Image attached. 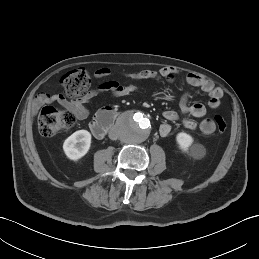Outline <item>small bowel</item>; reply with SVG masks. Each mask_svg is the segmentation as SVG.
Wrapping results in <instances>:
<instances>
[{
	"label": "small bowel",
	"mask_w": 259,
	"mask_h": 259,
	"mask_svg": "<svg viewBox=\"0 0 259 259\" xmlns=\"http://www.w3.org/2000/svg\"><path fill=\"white\" fill-rule=\"evenodd\" d=\"M113 71L110 68H100L95 72V76L98 79L105 78L111 75ZM179 70L176 67H164L158 71L155 70H141L133 72H123L122 76L132 81L143 80H166L169 83L175 81L176 75ZM187 85L201 89L208 94V106L212 109H217L221 105V98L223 97V90L214 85V83L196 74H188L185 77ZM136 89L133 84H122L115 79H107L102 81L96 87L90 89L80 98L67 99L62 94H48L40 93L33 101L32 108L37 110L44 104L58 103L68 111L72 112L74 116L80 120L86 119L89 115L87 105L95 98L103 95L110 94L115 97H123L132 93ZM179 108L183 114L190 115L195 118H201L206 114V106L202 103H189V93H184L179 101ZM163 118L167 122H174L178 119V114L174 110H165L163 112ZM183 125L189 130H195L197 128L206 135L213 134L216 130L214 121L211 119H203L199 124L192 119H184ZM171 132V126L168 123H164L159 128L161 136H167Z\"/></svg>",
	"instance_id": "1"
}]
</instances>
